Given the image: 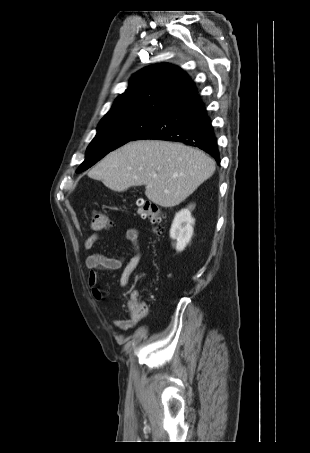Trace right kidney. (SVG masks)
Returning <instances> with one entry per match:
<instances>
[{
  "mask_svg": "<svg viewBox=\"0 0 310 453\" xmlns=\"http://www.w3.org/2000/svg\"><path fill=\"white\" fill-rule=\"evenodd\" d=\"M193 207L191 205L189 208L179 211L171 225L170 237L176 240L175 248L178 252L185 249L193 236V225L195 223V219L191 216Z\"/></svg>",
  "mask_w": 310,
  "mask_h": 453,
  "instance_id": "right-kidney-1",
  "label": "right kidney"
}]
</instances>
